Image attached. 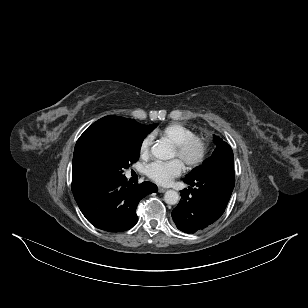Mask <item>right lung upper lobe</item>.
<instances>
[{"mask_svg": "<svg viewBox=\"0 0 308 308\" xmlns=\"http://www.w3.org/2000/svg\"><path fill=\"white\" fill-rule=\"evenodd\" d=\"M144 126L133 119L110 115L99 119L86 129L77 140L74 149L72 192L102 178V152L117 142L136 139Z\"/></svg>", "mask_w": 308, "mask_h": 308, "instance_id": "right-lung-upper-lobe-1", "label": "right lung upper lobe"}]
</instances>
